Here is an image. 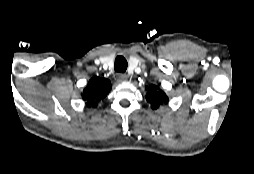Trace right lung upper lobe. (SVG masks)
Here are the masks:
<instances>
[{"instance_id":"right-lung-upper-lobe-1","label":"right lung upper lobe","mask_w":254,"mask_h":174,"mask_svg":"<svg viewBox=\"0 0 254 174\" xmlns=\"http://www.w3.org/2000/svg\"><path fill=\"white\" fill-rule=\"evenodd\" d=\"M110 90L111 84L108 79L94 77L84 89L82 98L86 101L87 107H96L97 103L104 98Z\"/></svg>"}]
</instances>
